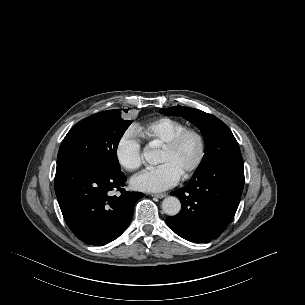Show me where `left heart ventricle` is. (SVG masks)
<instances>
[{
    "instance_id": "obj_1",
    "label": "left heart ventricle",
    "mask_w": 305,
    "mask_h": 305,
    "mask_svg": "<svg viewBox=\"0 0 305 305\" xmlns=\"http://www.w3.org/2000/svg\"><path fill=\"white\" fill-rule=\"evenodd\" d=\"M198 149L197 139L194 136H187L177 149L173 151L162 149L159 162L171 163L184 174L196 161Z\"/></svg>"
}]
</instances>
